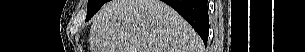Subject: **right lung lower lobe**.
<instances>
[{
    "label": "right lung lower lobe",
    "mask_w": 305,
    "mask_h": 52,
    "mask_svg": "<svg viewBox=\"0 0 305 52\" xmlns=\"http://www.w3.org/2000/svg\"><path fill=\"white\" fill-rule=\"evenodd\" d=\"M173 7L197 31L207 45L209 17L207 0H163Z\"/></svg>",
    "instance_id": "1"
}]
</instances>
